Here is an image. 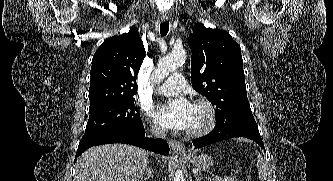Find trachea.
I'll return each mask as SVG.
<instances>
[{
    "instance_id": "1",
    "label": "trachea",
    "mask_w": 333,
    "mask_h": 181,
    "mask_svg": "<svg viewBox=\"0 0 333 181\" xmlns=\"http://www.w3.org/2000/svg\"><path fill=\"white\" fill-rule=\"evenodd\" d=\"M168 31H169V22L166 21V22L161 23L160 24V33H161V35L166 36Z\"/></svg>"
}]
</instances>
